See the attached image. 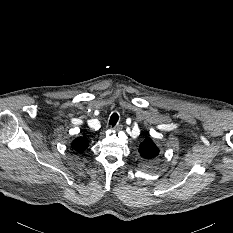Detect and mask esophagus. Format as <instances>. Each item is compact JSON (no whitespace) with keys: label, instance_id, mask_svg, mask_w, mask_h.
<instances>
[{"label":"esophagus","instance_id":"34e87169","mask_svg":"<svg viewBox=\"0 0 233 233\" xmlns=\"http://www.w3.org/2000/svg\"><path fill=\"white\" fill-rule=\"evenodd\" d=\"M122 128H123V125L118 124V125H116V126L114 127V130L120 131V130H122Z\"/></svg>","mask_w":233,"mask_h":233}]
</instances>
